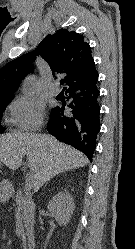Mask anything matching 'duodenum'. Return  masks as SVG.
<instances>
[{
  "instance_id": "duodenum-1",
  "label": "duodenum",
  "mask_w": 135,
  "mask_h": 249,
  "mask_svg": "<svg viewBox=\"0 0 135 249\" xmlns=\"http://www.w3.org/2000/svg\"><path fill=\"white\" fill-rule=\"evenodd\" d=\"M27 247L29 249H34L35 248V236H34L33 232H31L28 235V238H27Z\"/></svg>"
}]
</instances>
